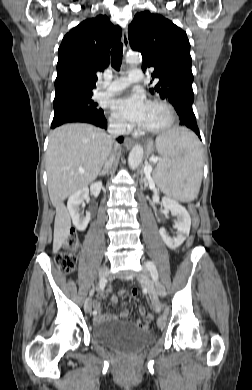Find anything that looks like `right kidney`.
<instances>
[{
    "mask_svg": "<svg viewBox=\"0 0 252 390\" xmlns=\"http://www.w3.org/2000/svg\"><path fill=\"white\" fill-rule=\"evenodd\" d=\"M102 182H96L90 186V192L97 197L101 191ZM89 189L83 188L76 193L72 194L67 202V208L72 218L73 224L78 231H84L90 221V212H86V215L80 213V204L88 196Z\"/></svg>",
    "mask_w": 252,
    "mask_h": 390,
    "instance_id": "1",
    "label": "right kidney"
}]
</instances>
